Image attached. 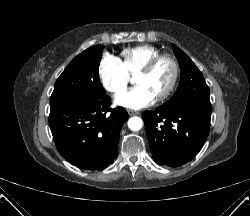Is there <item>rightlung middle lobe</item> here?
I'll return each instance as SVG.
<instances>
[{
	"label": "right lung middle lobe",
	"instance_id": "1",
	"mask_svg": "<svg viewBox=\"0 0 250 216\" xmlns=\"http://www.w3.org/2000/svg\"><path fill=\"white\" fill-rule=\"evenodd\" d=\"M103 48V45L92 46L70 62L54 85L50 110L75 98H97L105 95L98 75Z\"/></svg>",
	"mask_w": 250,
	"mask_h": 216
}]
</instances>
